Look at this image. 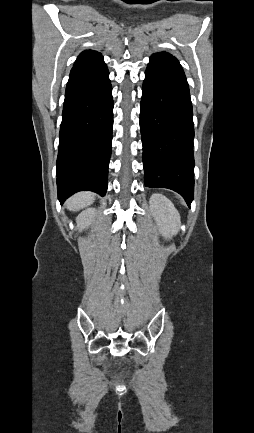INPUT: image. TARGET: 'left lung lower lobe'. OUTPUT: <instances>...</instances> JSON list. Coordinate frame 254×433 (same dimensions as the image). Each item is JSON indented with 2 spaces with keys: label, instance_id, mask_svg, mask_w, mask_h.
I'll list each match as a JSON object with an SVG mask.
<instances>
[{
  "label": "left lung lower lobe",
  "instance_id": "0a47b994",
  "mask_svg": "<svg viewBox=\"0 0 254 433\" xmlns=\"http://www.w3.org/2000/svg\"><path fill=\"white\" fill-rule=\"evenodd\" d=\"M145 186L168 188L190 206L194 195L193 111L178 60L155 53L145 72L140 104Z\"/></svg>",
  "mask_w": 254,
  "mask_h": 433
}]
</instances>
